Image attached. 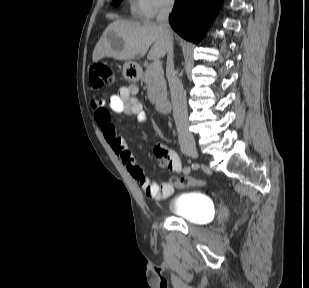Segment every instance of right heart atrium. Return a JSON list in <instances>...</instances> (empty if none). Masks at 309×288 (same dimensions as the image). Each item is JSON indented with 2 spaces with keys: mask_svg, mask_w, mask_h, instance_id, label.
<instances>
[{
  "mask_svg": "<svg viewBox=\"0 0 309 288\" xmlns=\"http://www.w3.org/2000/svg\"><path fill=\"white\" fill-rule=\"evenodd\" d=\"M175 0H134L136 12L145 18H153L161 11L169 10Z\"/></svg>",
  "mask_w": 309,
  "mask_h": 288,
  "instance_id": "obj_1",
  "label": "right heart atrium"
}]
</instances>
